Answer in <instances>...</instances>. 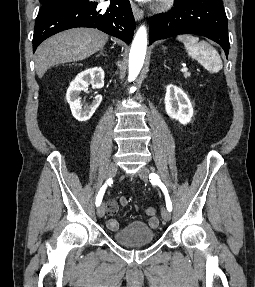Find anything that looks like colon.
I'll list each match as a JSON object with an SVG mask.
<instances>
[{"instance_id": "5ec220e1", "label": "colon", "mask_w": 255, "mask_h": 287, "mask_svg": "<svg viewBox=\"0 0 255 287\" xmlns=\"http://www.w3.org/2000/svg\"><path fill=\"white\" fill-rule=\"evenodd\" d=\"M145 212L147 215H149L150 217H157V211L155 208L153 207H146L145 208Z\"/></svg>"}]
</instances>
